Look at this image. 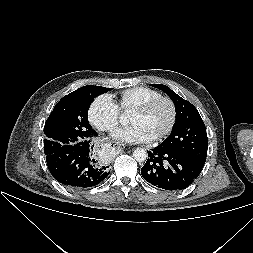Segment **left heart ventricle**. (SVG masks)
I'll use <instances>...</instances> for the list:
<instances>
[{
	"mask_svg": "<svg viewBox=\"0 0 253 253\" xmlns=\"http://www.w3.org/2000/svg\"><path fill=\"white\" fill-rule=\"evenodd\" d=\"M171 119L170 107L166 103L157 104L147 113H131L130 122L143 126L152 137L160 135L168 126Z\"/></svg>",
	"mask_w": 253,
	"mask_h": 253,
	"instance_id": "1",
	"label": "left heart ventricle"
}]
</instances>
